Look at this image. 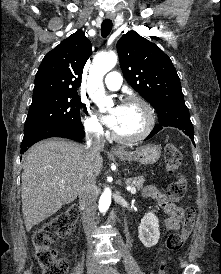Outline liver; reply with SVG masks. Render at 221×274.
I'll use <instances>...</instances> for the list:
<instances>
[{
	"label": "liver",
	"instance_id": "obj_1",
	"mask_svg": "<svg viewBox=\"0 0 221 274\" xmlns=\"http://www.w3.org/2000/svg\"><path fill=\"white\" fill-rule=\"evenodd\" d=\"M99 155L88 159L81 144L63 139L43 140L24 155L22 211L27 231L73 202L89 172L97 177L102 170Z\"/></svg>",
	"mask_w": 221,
	"mask_h": 274
}]
</instances>
